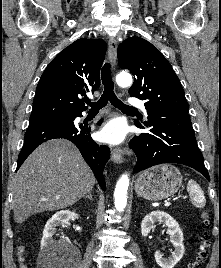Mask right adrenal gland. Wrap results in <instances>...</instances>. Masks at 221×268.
I'll return each instance as SVG.
<instances>
[{
	"label": "right adrenal gland",
	"mask_w": 221,
	"mask_h": 268,
	"mask_svg": "<svg viewBox=\"0 0 221 268\" xmlns=\"http://www.w3.org/2000/svg\"><path fill=\"white\" fill-rule=\"evenodd\" d=\"M84 198H88V199H90L91 201H93V198H92V191H90V192L88 193V195L84 196Z\"/></svg>",
	"instance_id": "obj_1"
}]
</instances>
